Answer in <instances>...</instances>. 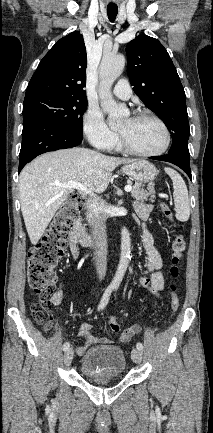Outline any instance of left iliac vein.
<instances>
[{"label":"left iliac vein","mask_w":213,"mask_h":433,"mask_svg":"<svg viewBox=\"0 0 213 433\" xmlns=\"http://www.w3.org/2000/svg\"><path fill=\"white\" fill-rule=\"evenodd\" d=\"M131 357L135 363H140L142 361V351L137 348L133 349L131 352Z\"/></svg>","instance_id":"obj_1"}]
</instances>
